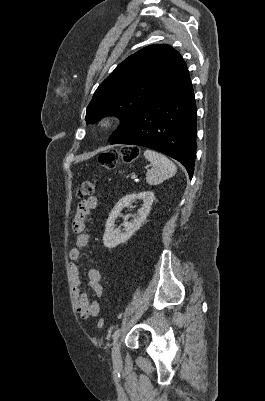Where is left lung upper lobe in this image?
I'll use <instances>...</instances> for the list:
<instances>
[{
    "label": "left lung upper lobe",
    "instance_id": "obj_1",
    "mask_svg": "<svg viewBox=\"0 0 265 401\" xmlns=\"http://www.w3.org/2000/svg\"><path fill=\"white\" fill-rule=\"evenodd\" d=\"M187 68L171 46L155 44L129 56L99 85L87 107L86 121L116 115L121 126L110 137L125 130L138 114Z\"/></svg>",
    "mask_w": 265,
    "mask_h": 401
}]
</instances>
